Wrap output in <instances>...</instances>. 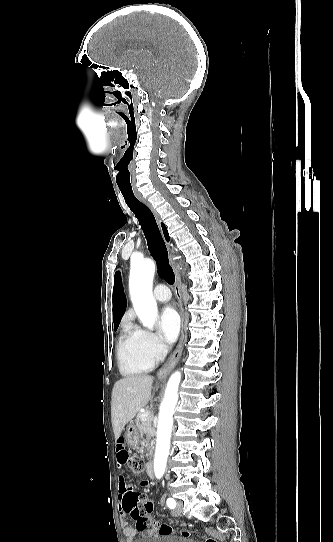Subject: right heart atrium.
Returning a JSON list of instances; mask_svg holds the SVG:
<instances>
[{"instance_id":"right-heart-atrium-1","label":"right heart atrium","mask_w":333,"mask_h":542,"mask_svg":"<svg viewBox=\"0 0 333 542\" xmlns=\"http://www.w3.org/2000/svg\"><path fill=\"white\" fill-rule=\"evenodd\" d=\"M137 336L142 340L144 346L157 356L165 354L166 347L161 338L149 331L137 329Z\"/></svg>"}]
</instances>
